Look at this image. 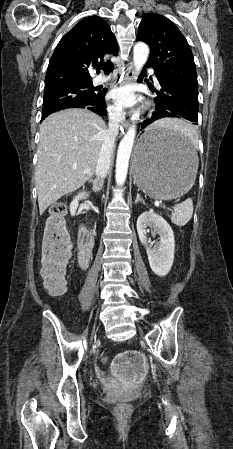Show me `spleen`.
<instances>
[{
  "mask_svg": "<svg viewBox=\"0 0 233 449\" xmlns=\"http://www.w3.org/2000/svg\"><path fill=\"white\" fill-rule=\"evenodd\" d=\"M173 133H183V136L187 138L189 142H196L198 135L195 131V125H172ZM196 173V171H195ZM193 215V202L188 198L185 201L175 206L174 213H172L171 221L177 226L186 225Z\"/></svg>",
  "mask_w": 233,
  "mask_h": 449,
  "instance_id": "3e777b00",
  "label": "spleen"
}]
</instances>
